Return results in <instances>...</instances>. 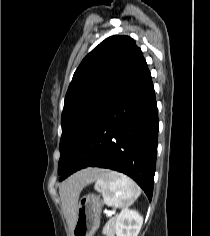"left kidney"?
Masks as SVG:
<instances>
[{
	"label": "left kidney",
	"instance_id": "1",
	"mask_svg": "<svg viewBox=\"0 0 210 236\" xmlns=\"http://www.w3.org/2000/svg\"><path fill=\"white\" fill-rule=\"evenodd\" d=\"M143 217L134 210L123 209L116 217V236H138Z\"/></svg>",
	"mask_w": 210,
	"mask_h": 236
}]
</instances>
